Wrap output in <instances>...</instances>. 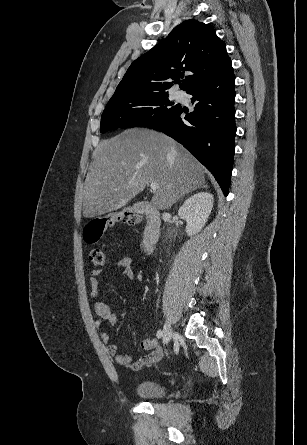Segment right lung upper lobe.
Instances as JSON below:
<instances>
[{
    "instance_id": "right-lung-upper-lobe-1",
    "label": "right lung upper lobe",
    "mask_w": 307,
    "mask_h": 445,
    "mask_svg": "<svg viewBox=\"0 0 307 445\" xmlns=\"http://www.w3.org/2000/svg\"><path fill=\"white\" fill-rule=\"evenodd\" d=\"M230 63L225 43L210 25L186 20L130 65L112 98L167 94L170 80L176 83L184 71L193 73L181 84L188 91Z\"/></svg>"
}]
</instances>
